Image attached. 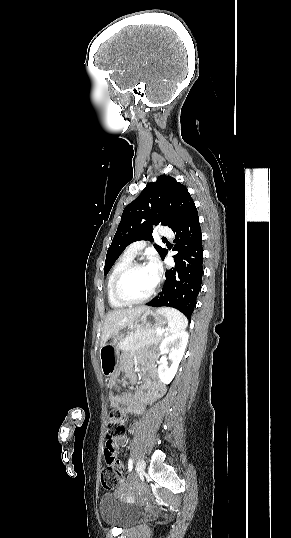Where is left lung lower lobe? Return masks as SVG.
Wrapping results in <instances>:
<instances>
[{
    "mask_svg": "<svg viewBox=\"0 0 291 538\" xmlns=\"http://www.w3.org/2000/svg\"><path fill=\"white\" fill-rule=\"evenodd\" d=\"M173 232L175 233L173 250L178 251L173 256L175 267L166 271L162 291L146 305L176 308L190 320L196 307L203 275L202 236L197 209H193Z\"/></svg>",
    "mask_w": 291,
    "mask_h": 538,
    "instance_id": "1",
    "label": "left lung lower lobe"
}]
</instances>
